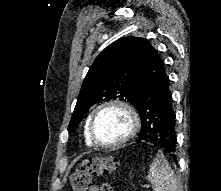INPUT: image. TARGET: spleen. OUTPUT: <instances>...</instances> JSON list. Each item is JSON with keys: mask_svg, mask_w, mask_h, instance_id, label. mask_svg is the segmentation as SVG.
<instances>
[{"mask_svg": "<svg viewBox=\"0 0 221 191\" xmlns=\"http://www.w3.org/2000/svg\"><path fill=\"white\" fill-rule=\"evenodd\" d=\"M147 179L152 184L153 191H176L177 183L174 172L162 153L154 158Z\"/></svg>", "mask_w": 221, "mask_h": 191, "instance_id": "obj_1", "label": "spleen"}]
</instances>
